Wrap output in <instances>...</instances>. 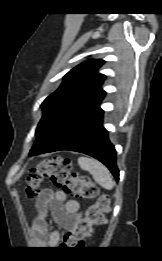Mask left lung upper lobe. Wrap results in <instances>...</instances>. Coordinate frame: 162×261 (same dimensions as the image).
I'll return each mask as SVG.
<instances>
[{"label":"left lung upper lobe","mask_w":162,"mask_h":261,"mask_svg":"<svg viewBox=\"0 0 162 261\" xmlns=\"http://www.w3.org/2000/svg\"><path fill=\"white\" fill-rule=\"evenodd\" d=\"M103 60H88L70 70L61 86L49 95L41 107L43 116L31 154H41L55 146L77 127L96 116L102 109L105 75L97 69Z\"/></svg>","instance_id":"1"}]
</instances>
